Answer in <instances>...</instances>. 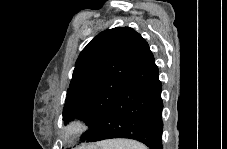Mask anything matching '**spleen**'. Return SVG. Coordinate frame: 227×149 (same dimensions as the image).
<instances>
[{"mask_svg":"<svg viewBox=\"0 0 227 149\" xmlns=\"http://www.w3.org/2000/svg\"><path fill=\"white\" fill-rule=\"evenodd\" d=\"M99 146L102 149H146L143 144L128 139L104 141L99 143Z\"/></svg>","mask_w":227,"mask_h":149,"instance_id":"obj_1","label":"spleen"}]
</instances>
